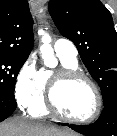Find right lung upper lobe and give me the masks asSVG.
<instances>
[{
	"label": "right lung upper lobe",
	"mask_w": 117,
	"mask_h": 136,
	"mask_svg": "<svg viewBox=\"0 0 117 136\" xmlns=\"http://www.w3.org/2000/svg\"><path fill=\"white\" fill-rule=\"evenodd\" d=\"M27 0H0V55L28 58L34 40Z\"/></svg>",
	"instance_id": "cb5924a9"
}]
</instances>
